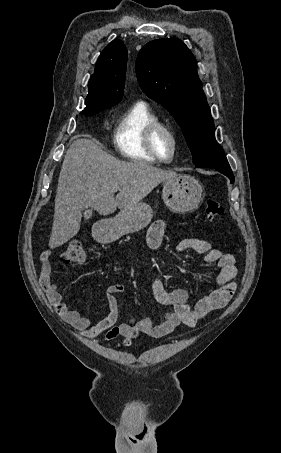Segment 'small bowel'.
<instances>
[{"mask_svg":"<svg viewBox=\"0 0 281 453\" xmlns=\"http://www.w3.org/2000/svg\"><path fill=\"white\" fill-rule=\"evenodd\" d=\"M165 231L166 223L163 220H157L150 225L147 233V245L150 250L155 251L160 247ZM177 249L180 252L191 251L197 254H204L207 263L216 264L219 268L218 286L211 296L190 307L188 305V289L166 290L162 282L163 272H158L151 283L153 296L158 303L171 308L160 323H154L150 318L118 323L119 305L116 296L125 290L122 283L111 284L106 288L105 297L109 304V314L97 322H94L89 317L80 315L72 307L71 302L60 303L61 294L59 288L51 281L50 277V252L41 256L39 279L50 301L56 304L60 303L58 311L62 318L80 331L84 338H94L104 334L103 340L110 341L122 336L124 340L118 345L124 347L136 339L140 333L156 339L170 334L179 325H197L207 314L224 309L235 294L237 289V271L232 254L221 253L216 249H212L208 241L200 238H183L180 240Z\"/></svg>","mask_w":281,"mask_h":453,"instance_id":"small-bowel-1","label":"small bowel"}]
</instances>
